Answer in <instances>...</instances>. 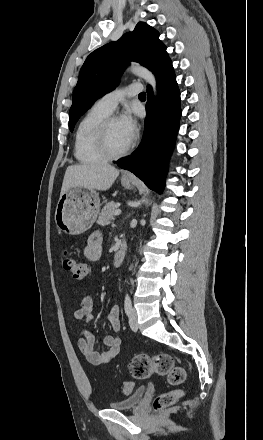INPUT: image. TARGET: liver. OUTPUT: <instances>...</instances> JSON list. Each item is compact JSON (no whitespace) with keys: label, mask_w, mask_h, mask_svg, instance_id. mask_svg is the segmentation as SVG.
<instances>
[{"label":"liver","mask_w":263,"mask_h":440,"mask_svg":"<svg viewBox=\"0 0 263 440\" xmlns=\"http://www.w3.org/2000/svg\"><path fill=\"white\" fill-rule=\"evenodd\" d=\"M119 170L108 163H89L68 166L64 175L61 194L71 187L89 190H108L119 175Z\"/></svg>","instance_id":"obj_1"}]
</instances>
